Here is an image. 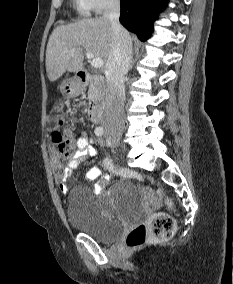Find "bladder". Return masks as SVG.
Segmentation results:
<instances>
[{"mask_svg":"<svg viewBox=\"0 0 233 284\" xmlns=\"http://www.w3.org/2000/svg\"><path fill=\"white\" fill-rule=\"evenodd\" d=\"M138 188L128 181L117 183L109 193L103 195L102 202L130 207L138 203ZM67 217L70 225L93 239L109 243L122 231V222L116 217L101 212L96 198L84 188L72 189L68 195Z\"/></svg>","mask_w":233,"mask_h":284,"instance_id":"bladder-1","label":"bladder"}]
</instances>
